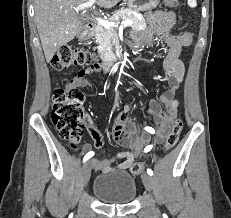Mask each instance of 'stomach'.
<instances>
[{
	"label": "stomach",
	"mask_w": 231,
	"mask_h": 218,
	"mask_svg": "<svg viewBox=\"0 0 231 218\" xmlns=\"http://www.w3.org/2000/svg\"><path fill=\"white\" fill-rule=\"evenodd\" d=\"M129 6L136 11H147L154 9L159 4V0H128Z\"/></svg>",
	"instance_id": "1"
}]
</instances>
